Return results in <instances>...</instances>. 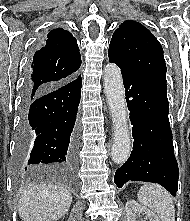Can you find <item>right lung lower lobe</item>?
Instances as JSON below:
<instances>
[{
  "instance_id": "98d812e1",
  "label": "right lung lower lobe",
  "mask_w": 190,
  "mask_h": 221,
  "mask_svg": "<svg viewBox=\"0 0 190 221\" xmlns=\"http://www.w3.org/2000/svg\"><path fill=\"white\" fill-rule=\"evenodd\" d=\"M81 85V75L37 92H30L26 84L15 160L19 171L75 164Z\"/></svg>"
}]
</instances>
